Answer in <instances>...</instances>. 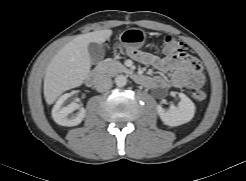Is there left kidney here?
Wrapping results in <instances>:
<instances>
[{"instance_id":"obj_1","label":"left kidney","mask_w":246,"mask_h":181,"mask_svg":"<svg viewBox=\"0 0 246 181\" xmlns=\"http://www.w3.org/2000/svg\"><path fill=\"white\" fill-rule=\"evenodd\" d=\"M178 106L171 105L165 110L161 105L157 106V113L165 125L175 127L192 120L195 114V105L185 94L179 93Z\"/></svg>"}]
</instances>
